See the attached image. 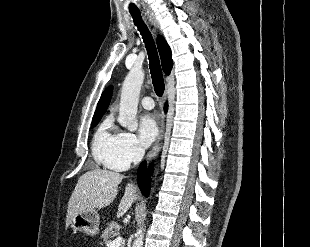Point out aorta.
Returning a JSON list of instances; mask_svg holds the SVG:
<instances>
[{"label":"aorta","mask_w":310,"mask_h":247,"mask_svg":"<svg viewBox=\"0 0 310 247\" xmlns=\"http://www.w3.org/2000/svg\"><path fill=\"white\" fill-rule=\"evenodd\" d=\"M144 81V72L141 69H131L127 74L122 90L118 121L122 127L134 132L138 127L137 109L141 86ZM145 229L136 233L132 247H142Z\"/></svg>","instance_id":"762f6f07"}]
</instances>
